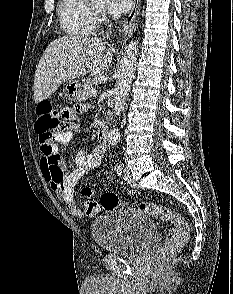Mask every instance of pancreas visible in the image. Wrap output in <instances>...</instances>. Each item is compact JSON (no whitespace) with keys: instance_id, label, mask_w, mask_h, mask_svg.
Returning a JSON list of instances; mask_svg holds the SVG:
<instances>
[{"instance_id":"cf45deb5","label":"pancreas","mask_w":233,"mask_h":294,"mask_svg":"<svg viewBox=\"0 0 233 294\" xmlns=\"http://www.w3.org/2000/svg\"><path fill=\"white\" fill-rule=\"evenodd\" d=\"M92 80L88 79L82 84V92H81V99L86 100L88 99L91 95L89 93V90L92 89Z\"/></svg>"}]
</instances>
